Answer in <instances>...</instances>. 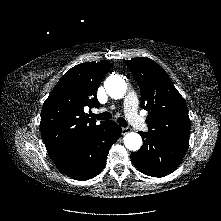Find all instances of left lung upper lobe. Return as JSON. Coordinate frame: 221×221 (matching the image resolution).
<instances>
[{
    "mask_svg": "<svg viewBox=\"0 0 221 221\" xmlns=\"http://www.w3.org/2000/svg\"><path fill=\"white\" fill-rule=\"evenodd\" d=\"M141 91V107L148 111V134L187 146L190 120L185 100L167 73L150 58L125 60Z\"/></svg>",
    "mask_w": 221,
    "mask_h": 221,
    "instance_id": "left-lung-upper-lobe-1",
    "label": "left lung upper lobe"
}]
</instances>
